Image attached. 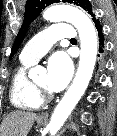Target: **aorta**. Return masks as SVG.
I'll return each mask as SVG.
<instances>
[{"instance_id":"1","label":"aorta","mask_w":117,"mask_h":136,"mask_svg":"<svg viewBox=\"0 0 117 136\" xmlns=\"http://www.w3.org/2000/svg\"><path fill=\"white\" fill-rule=\"evenodd\" d=\"M43 18L51 22L66 21L76 27L81 42L79 67L70 88L55 108L48 129L51 136L63 126L67 117L83 96L93 70L98 52L96 29L91 19L81 10L68 5H54L45 10ZM40 67L30 70V75L36 74Z\"/></svg>"}]
</instances>
